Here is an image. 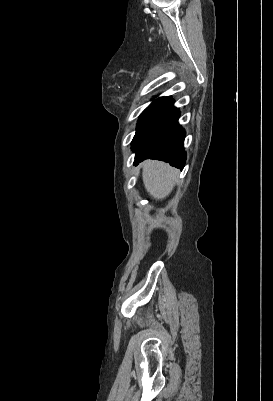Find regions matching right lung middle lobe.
<instances>
[{
  "mask_svg": "<svg viewBox=\"0 0 273 401\" xmlns=\"http://www.w3.org/2000/svg\"><path fill=\"white\" fill-rule=\"evenodd\" d=\"M171 98L162 97L154 100L140 115L137 123V131L158 111L165 107Z\"/></svg>",
  "mask_w": 273,
  "mask_h": 401,
  "instance_id": "obj_1",
  "label": "right lung middle lobe"
}]
</instances>
